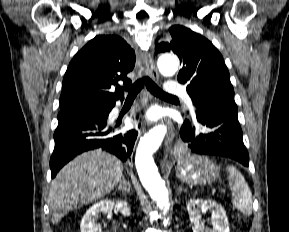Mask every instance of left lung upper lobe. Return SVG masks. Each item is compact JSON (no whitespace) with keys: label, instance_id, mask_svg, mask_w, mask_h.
I'll list each match as a JSON object with an SVG mask.
<instances>
[{"label":"left lung upper lobe","instance_id":"left-lung-upper-lobe-1","mask_svg":"<svg viewBox=\"0 0 289 232\" xmlns=\"http://www.w3.org/2000/svg\"><path fill=\"white\" fill-rule=\"evenodd\" d=\"M157 52L172 51L182 64L178 81L196 109L210 107L237 118V105L228 69L222 55L205 37L192 30L174 25L169 33L157 40Z\"/></svg>","mask_w":289,"mask_h":232}]
</instances>
